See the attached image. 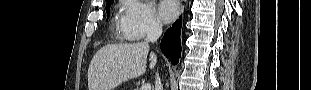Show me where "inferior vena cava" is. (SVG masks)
Segmentation results:
<instances>
[{
  "instance_id": "1",
  "label": "inferior vena cava",
  "mask_w": 311,
  "mask_h": 90,
  "mask_svg": "<svg viewBox=\"0 0 311 90\" xmlns=\"http://www.w3.org/2000/svg\"><path fill=\"white\" fill-rule=\"evenodd\" d=\"M161 34H162V26L158 23H152L147 30V37L146 41L143 43V46L145 48H150L152 46V43L156 42L158 38L161 36ZM149 63L151 64L152 62L150 61ZM155 89L163 90L158 72L155 75Z\"/></svg>"
}]
</instances>
